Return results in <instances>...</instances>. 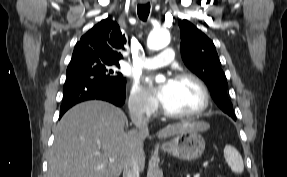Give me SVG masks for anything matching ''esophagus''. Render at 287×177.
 Here are the masks:
<instances>
[{"label":"esophagus","instance_id":"esophagus-1","mask_svg":"<svg viewBox=\"0 0 287 177\" xmlns=\"http://www.w3.org/2000/svg\"><path fill=\"white\" fill-rule=\"evenodd\" d=\"M148 1H149V0H140V3L143 4V5H145V4L148 3Z\"/></svg>","mask_w":287,"mask_h":177}]
</instances>
